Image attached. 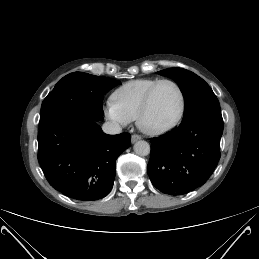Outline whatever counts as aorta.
Masks as SVG:
<instances>
[{
    "label": "aorta",
    "mask_w": 259,
    "mask_h": 259,
    "mask_svg": "<svg viewBox=\"0 0 259 259\" xmlns=\"http://www.w3.org/2000/svg\"><path fill=\"white\" fill-rule=\"evenodd\" d=\"M134 152L139 156H147L150 153V145L144 140L137 141L134 144Z\"/></svg>",
    "instance_id": "aorta-1"
}]
</instances>
